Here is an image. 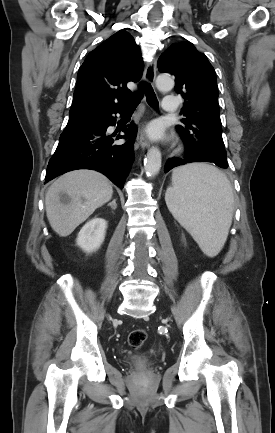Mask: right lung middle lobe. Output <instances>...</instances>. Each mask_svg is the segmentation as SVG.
Returning <instances> with one entry per match:
<instances>
[{"mask_svg": "<svg viewBox=\"0 0 275 433\" xmlns=\"http://www.w3.org/2000/svg\"><path fill=\"white\" fill-rule=\"evenodd\" d=\"M77 119H78V118H77ZM74 120H76V119H73V120H69V122H70V121H74Z\"/></svg>", "mask_w": 275, "mask_h": 433, "instance_id": "dd1d6c3e", "label": "right lung middle lobe"}]
</instances>
